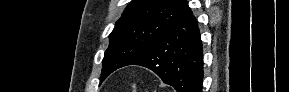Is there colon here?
Listing matches in <instances>:
<instances>
[{
    "label": "colon",
    "instance_id": "5ec220e1",
    "mask_svg": "<svg viewBox=\"0 0 289 92\" xmlns=\"http://www.w3.org/2000/svg\"><path fill=\"white\" fill-rule=\"evenodd\" d=\"M132 91L135 92V88H134V86H132Z\"/></svg>",
    "mask_w": 289,
    "mask_h": 92
}]
</instances>
